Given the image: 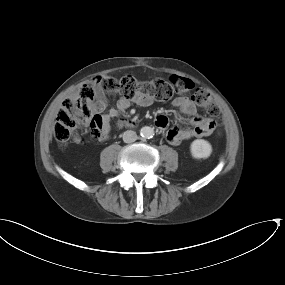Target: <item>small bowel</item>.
Segmentation results:
<instances>
[{
    "mask_svg": "<svg viewBox=\"0 0 285 285\" xmlns=\"http://www.w3.org/2000/svg\"><path fill=\"white\" fill-rule=\"evenodd\" d=\"M77 97V89H73L69 95L68 99ZM153 103V98L148 95H139L134 98L127 99L123 96L119 97L114 107H110L106 94L97 89L95 93L94 102L90 105V108L94 113L97 114L103 125L105 126L102 139L108 137L109 128L108 125L110 121L116 117L122 115L131 104H137L139 106H149ZM172 105L177 107L182 115L190 117L196 114L197 108L193 101L188 97H179L172 101ZM166 122L163 125H157L161 131L165 132L166 140L172 145H179L182 141L192 139L194 137H201L210 134L207 132L205 135L202 131L207 130V125L210 120H203L199 117H193L189 120L191 128L178 129L176 127L168 128V119L166 116ZM73 143L81 144L82 140L79 136H74Z\"/></svg>",
    "mask_w": 285,
    "mask_h": 285,
    "instance_id": "obj_1",
    "label": "small bowel"
}]
</instances>
